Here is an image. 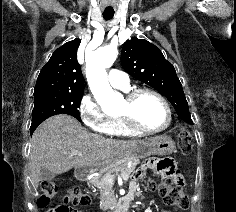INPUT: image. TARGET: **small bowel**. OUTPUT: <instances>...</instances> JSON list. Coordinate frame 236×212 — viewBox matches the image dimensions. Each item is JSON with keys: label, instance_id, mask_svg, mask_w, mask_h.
Instances as JSON below:
<instances>
[{"label": "small bowel", "instance_id": "c3829d8e", "mask_svg": "<svg viewBox=\"0 0 236 212\" xmlns=\"http://www.w3.org/2000/svg\"><path fill=\"white\" fill-rule=\"evenodd\" d=\"M161 167L158 168V172L161 174H167L170 171V167L168 166V160H163L159 163ZM136 185H133L132 189H136Z\"/></svg>", "mask_w": 236, "mask_h": 212}]
</instances>
